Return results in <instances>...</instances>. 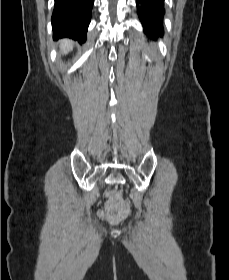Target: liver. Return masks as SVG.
I'll return each mask as SVG.
<instances>
[{
    "label": "liver",
    "mask_w": 229,
    "mask_h": 280,
    "mask_svg": "<svg viewBox=\"0 0 229 280\" xmlns=\"http://www.w3.org/2000/svg\"><path fill=\"white\" fill-rule=\"evenodd\" d=\"M72 46H73V43L69 39H64V40L60 41V49L64 53H68L72 49Z\"/></svg>",
    "instance_id": "obj_1"
}]
</instances>
